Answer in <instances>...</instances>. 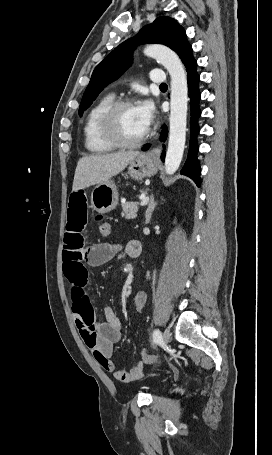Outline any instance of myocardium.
Returning a JSON list of instances; mask_svg holds the SVG:
<instances>
[{
    "mask_svg": "<svg viewBox=\"0 0 272 455\" xmlns=\"http://www.w3.org/2000/svg\"><path fill=\"white\" fill-rule=\"evenodd\" d=\"M130 99L114 100L103 112L100 118V132L102 137L115 148L132 149L140 146L148 137L146 131L144 135L133 141L124 140L118 131V116L126 107L134 106Z\"/></svg>",
    "mask_w": 272,
    "mask_h": 455,
    "instance_id": "1",
    "label": "myocardium"
}]
</instances>
